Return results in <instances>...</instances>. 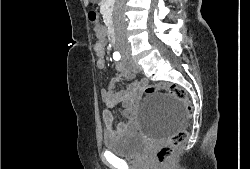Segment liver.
Returning a JSON list of instances; mask_svg holds the SVG:
<instances>
[{
    "label": "liver",
    "mask_w": 250,
    "mask_h": 169,
    "mask_svg": "<svg viewBox=\"0 0 250 169\" xmlns=\"http://www.w3.org/2000/svg\"><path fill=\"white\" fill-rule=\"evenodd\" d=\"M85 4H88V0H84Z\"/></svg>",
    "instance_id": "obj_1"
}]
</instances>
